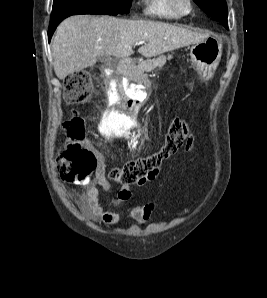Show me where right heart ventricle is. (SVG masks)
Returning a JSON list of instances; mask_svg holds the SVG:
<instances>
[{
	"label": "right heart ventricle",
	"instance_id": "obj_1",
	"mask_svg": "<svg viewBox=\"0 0 267 298\" xmlns=\"http://www.w3.org/2000/svg\"><path fill=\"white\" fill-rule=\"evenodd\" d=\"M142 11L145 16L155 19H177V15L168 4V0H141Z\"/></svg>",
	"mask_w": 267,
	"mask_h": 298
}]
</instances>
